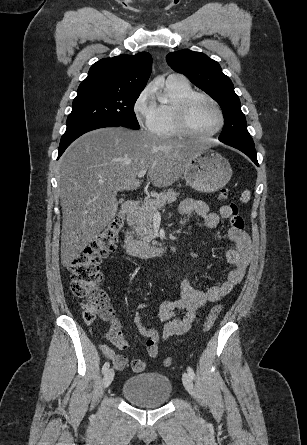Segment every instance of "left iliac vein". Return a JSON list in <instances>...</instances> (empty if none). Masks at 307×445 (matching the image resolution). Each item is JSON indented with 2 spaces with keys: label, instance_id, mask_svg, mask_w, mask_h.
I'll use <instances>...</instances> for the list:
<instances>
[{
  "label": "left iliac vein",
  "instance_id": "1",
  "mask_svg": "<svg viewBox=\"0 0 307 445\" xmlns=\"http://www.w3.org/2000/svg\"><path fill=\"white\" fill-rule=\"evenodd\" d=\"M182 382L186 390L189 392V394L193 395L194 394L193 382L188 373L184 372L182 374Z\"/></svg>",
  "mask_w": 307,
  "mask_h": 445
}]
</instances>
